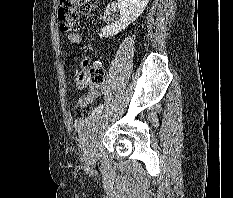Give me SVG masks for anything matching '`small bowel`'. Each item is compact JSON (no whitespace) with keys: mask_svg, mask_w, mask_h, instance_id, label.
Masks as SVG:
<instances>
[{"mask_svg":"<svg viewBox=\"0 0 233 198\" xmlns=\"http://www.w3.org/2000/svg\"><path fill=\"white\" fill-rule=\"evenodd\" d=\"M82 64L84 66H86L88 64V60L84 59ZM78 86L80 87L81 85L79 84ZM100 94H101V88L100 87H98L95 90L89 91L87 94L82 95V96H80L78 98L77 105L80 108H85L88 105L92 104L99 97Z\"/></svg>","mask_w":233,"mask_h":198,"instance_id":"small-bowel-1","label":"small bowel"}]
</instances>
